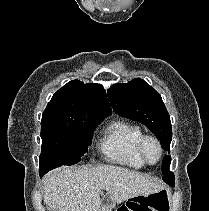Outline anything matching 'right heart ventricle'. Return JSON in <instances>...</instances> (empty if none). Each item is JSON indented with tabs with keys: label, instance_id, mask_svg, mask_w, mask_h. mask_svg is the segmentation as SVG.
<instances>
[{
	"label": "right heart ventricle",
	"instance_id": "right-heart-ventricle-1",
	"mask_svg": "<svg viewBox=\"0 0 209 211\" xmlns=\"http://www.w3.org/2000/svg\"><path fill=\"white\" fill-rule=\"evenodd\" d=\"M142 129L130 121L117 119L104 129L100 149L104 157L114 163L130 168H142L145 163L138 153Z\"/></svg>",
	"mask_w": 209,
	"mask_h": 211
}]
</instances>
